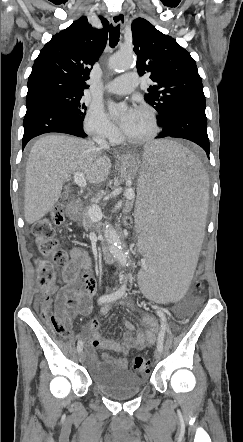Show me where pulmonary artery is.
Segmentation results:
<instances>
[{
	"instance_id": "1",
	"label": "pulmonary artery",
	"mask_w": 243,
	"mask_h": 442,
	"mask_svg": "<svg viewBox=\"0 0 243 442\" xmlns=\"http://www.w3.org/2000/svg\"><path fill=\"white\" fill-rule=\"evenodd\" d=\"M139 84L137 73H125L105 86V90L114 94H128Z\"/></svg>"
}]
</instances>
